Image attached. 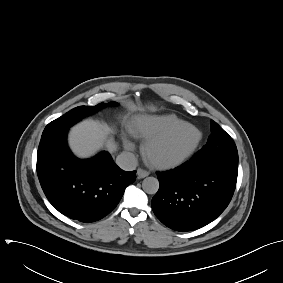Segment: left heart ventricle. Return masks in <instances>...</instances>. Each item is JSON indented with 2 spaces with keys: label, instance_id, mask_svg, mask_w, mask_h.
Wrapping results in <instances>:
<instances>
[{
  "label": "left heart ventricle",
  "instance_id": "1",
  "mask_svg": "<svg viewBox=\"0 0 283 283\" xmlns=\"http://www.w3.org/2000/svg\"><path fill=\"white\" fill-rule=\"evenodd\" d=\"M195 139L196 132L189 127H183L167 142L154 149L153 155L159 159H174L183 154Z\"/></svg>",
  "mask_w": 283,
  "mask_h": 283
}]
</instances>
